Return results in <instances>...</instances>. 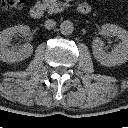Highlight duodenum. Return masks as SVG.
Here are the masks:
<instances>
[{
  "instance_id": "1",
  "label": "duodenum",
  "mask_w": 128,
  "mask_h": 128,
  "mask_svg": "<svg viewBox=\"0 0 128 128\" xmlns=\"http://www.w3.org/2000/svg\"><path fill=\"white\" fill-rule=\"evenodd\" d=\"M77 11L80 14H88L90 12V6L85 3L82 2L77 6ZM30 15L32 18L34 19H40L43 17L44 15V8L40 3L35 4L31 9H30Z\"/></svg>"
}]
</instances>
